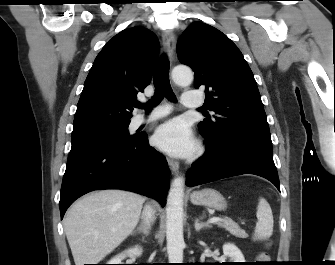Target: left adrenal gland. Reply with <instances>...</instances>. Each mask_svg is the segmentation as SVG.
<instances>
[{
	"mask_svg": "<svg viewBox=\"0 0 335 265\" xmlns=\"http://www.w3.org/2000/svg\"><path fill=\"white\" fill-rule=\"evenodd\" d=\"M208 227H211L209 223L200 222L198 218L195 220L196 231H200L202 228H208Z\"/></svg>",
	"mask_w": 335,
	"mask_h": 265,
	"instance_id": "1",
	"label": "left adrenal gland"
}]
</instances>
